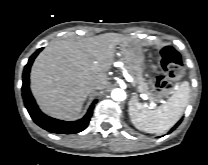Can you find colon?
Listing matches in <instances>:
<instances>
[{"mask_svg": "<svg viewBox=\"0 0 208 165\" xmlns=\"http://www.w3.org/2000/svg\"><path fill=\"white\" fill-rule=\"evenodd\" d=\"M182 59L179 52L171 47H164L159 54V73L152 77L151 83L157 96L166 95L171 89V80L182 73Z\"/></svg>", "mask_w": 208, "mask_h": 165, "instance_id": "5ec220e1", "label": "colon"}]
</instances>
